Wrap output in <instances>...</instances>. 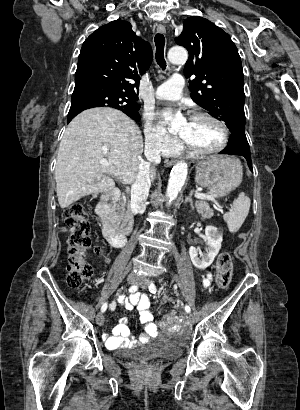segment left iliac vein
Wrapping results in <instances>:
<instances>
[{
  "mask_svg": "<svg viewBox=\"0 0 300 410\" xmlns=\"http://www.w3.org/2000/svg\"><path fill=\"white\" fill-rule=\"evenodd\" d=\"M138 285L142 288H146L148 286V279L144 276L140 277L138 280ZM189 322H193V316L188 314L185 316Z\"/></svg>",
  "mask_w": 300,
  "mask_h": 410,
  "instance_id": "left-iliac-vein-1",
  "label": "left iliac vein"
}]
</instances>
